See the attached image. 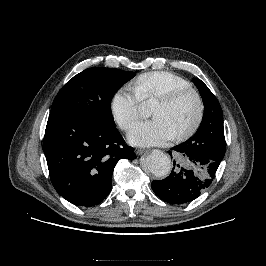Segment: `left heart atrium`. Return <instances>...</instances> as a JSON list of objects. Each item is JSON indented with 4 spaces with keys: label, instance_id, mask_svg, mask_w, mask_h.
I'll list each match as a JSON object with an SVG mask.
<instances>
[{
    "label": "left heart atrium",
    "instance_id": "obj_1",
    "mask_svg": "<svg viewBox=\"0 0 266 266\" xmlns=\"http://www.w3.org/2000/svg\"><path fill=\"white\" fill-rule=\"evenodd\" d=\"M175 136L174 130L163 118L138 122L132 126L128 133L129 141L139 146L165 144Z\"/></svg>",
    "mask_w": 266,
    "mask_h": 266
}]
</instances>
